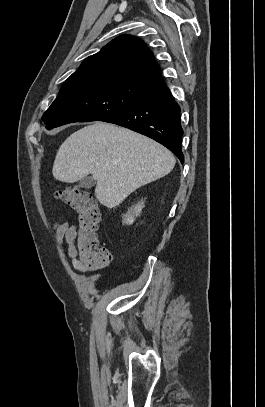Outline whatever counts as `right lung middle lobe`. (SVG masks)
Returning a JSON list of instances; mask_svg holds the SVG:
<instances>
[{"instance_id":"right-lung-middle-lobe-1","label":"right lung middle lobe","mask_w":265,"mask_h":407,"mask_svg":"<svg viewBox=\"0 0 265 407\" xmlns=\"http://www.w3.org/2000/svg\"><path fill=\"white\" fill-rule=\"evenodd\" d=\"M154 89L136 81L99 74L69 77L42 120L48 129L72 122L103 120L139 103Z\"/></svg>"}]
</instances>
